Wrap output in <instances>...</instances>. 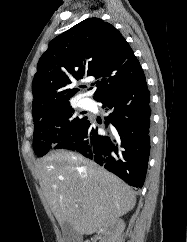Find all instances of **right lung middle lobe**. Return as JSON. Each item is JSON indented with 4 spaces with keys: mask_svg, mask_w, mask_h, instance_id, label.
Here are the masks:
<instances>
[{
    "mask_svg": "<svg viewBox=\"0 0 187 242\" xmlns=\"http://www.w3.org/2000/svg\"><path fill=\"white\" fill-rule=\"evenodd\" d=\"M86 120L87 117L75 116L70 103L43 114L34 115V152L38 157L44 156L53 144L71 136Z\"/></svg>",
    "mask_w": 187,
    "mask_h": 242,
    "instance_id": "obj_1",
    "label": "right lung middle lobe"
}]
</instances>
